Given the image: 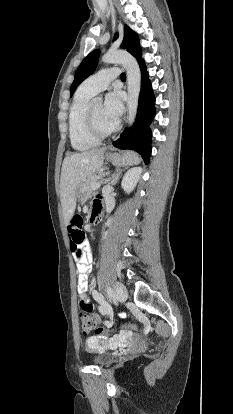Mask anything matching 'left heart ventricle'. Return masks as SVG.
I'll return each mask as SVG.
<instances>
[{"label": "left heart ventricle", "instance_id": "left-heart-ventricle-1", "mask_svg": "<svg viewBox=\"0 0 233 414\" xmlns=\"http://www.w3.org/2000/svg\"><path fill=\"white\" fill-rule=\"evenodd\" d=\"M91 110H92L95 124L100 131L107 132V131H110L115 126V123L110 121L105 116L104 111H103V106L101 104L92 106Z\"/></svg>", "mask_w": 233, "mask_h": 414}]
</instances>
